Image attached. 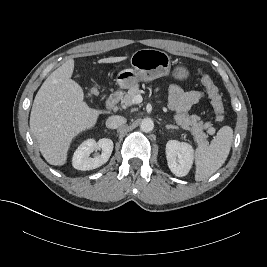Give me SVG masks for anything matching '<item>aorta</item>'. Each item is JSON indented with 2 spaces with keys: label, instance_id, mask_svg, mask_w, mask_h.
Returning <instances> with one entry per match:
<instances>
[{
  "label": "aorta",
  "instance_id": "obj_1",
  "mask_svg": "<svg viewBox=\"0 0 267 267\" xmlns=\"http://www.w3.org/2000/svg\"><path fill=\"white\" fill-rule=\"evenodd\" d=\"M154 128V122L151 118H144L140 124L141 131L148 133Z\"/></svg>",
  "mask_w": 267,
  "mask_h": 267
}]
</instances>
